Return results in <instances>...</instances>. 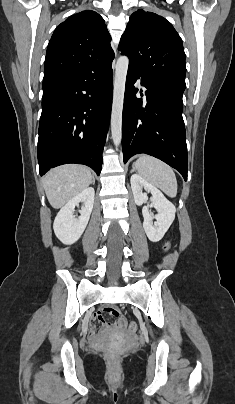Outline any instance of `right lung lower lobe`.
I'll return each instance as SVG.
<instances>
[{
	"instance_id": "obj_1",
	"label": "right lung lower lobe",
	"mask_w": 235,
	"mask_h": 404,
	"mask_svg": "<svg viewBox=\"0 0 235 404\" xmlns=\"http://www.w3.org/2000/svg\"><path fill=\"white\" fill-rule=\"evenodd\" d=\"M112 64L43 81L39 173L78 163L102 168L112 105Z\"/></svg>"
}]
</instances>
